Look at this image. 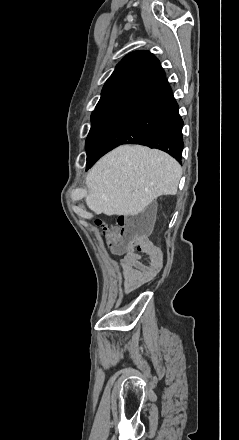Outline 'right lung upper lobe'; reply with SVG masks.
<instances>
[{
  "label": "right lung upper lobe",
  "mask_w": 239,
  "mask_h": 440,
  "mask_svg": "<svg viewBox=\"0 0 239 440\" xmlns=\"http://www.w3.org/2000/svg\"><path fill=\"white\" fill-rule=\"evenodd\" d=\"M165 73L159 60L149 51L126 55L105 83L97 105L114 99H134L160 83Z\"/></svg>",
  "instance_id": "obj_1"
}]
</instances>
